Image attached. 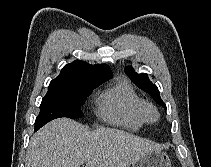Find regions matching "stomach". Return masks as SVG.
I'll return each mask as SVG.
<instances>
[{
    "label": "stomach",
    "instance_id": "0dacf381",
    "mask_svg": "<svg viewBox=\"0 0 211 167\" xmlns=\"http://www.w3.org/2000/svg\"><path fill=\"white\" fill-rule=\"evenodd\" d=\"M132 167H171V161L164 151L155 149L133 163Z\"/></svg>",
    "mask_w": 211,
    "mask_h": 167
}]
</instances>
